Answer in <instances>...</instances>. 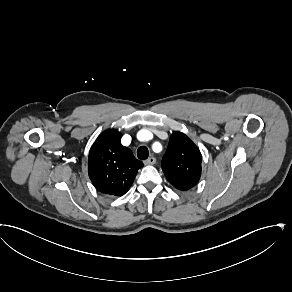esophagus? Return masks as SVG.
Masks as SVG:
<instances>
[{
    "label": "esophagus",
    "instance_id": "esophagus-1",
    "mask_svg": "<svg viewBox=\"0 0 292 292\" xmlns=\"http://www.w3.org/2000/svg\"><path fill=\"white\" fill-rule=\"evenodd\" d=\"M156 163V159L154 157H150L149 159L144 161L145 165H153Z\"/></svg>",
    "mask_w": 292,
    "mask_h": 292
}]
</instances>
